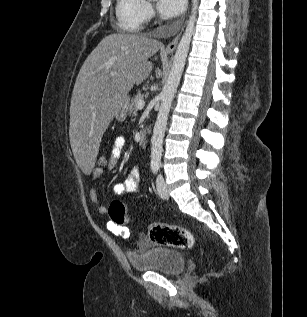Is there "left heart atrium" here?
Instances as JSON below:
<instances>
[{
  "label": "left heart atrium",
  "mask_w": 307,
  "mask_h": 317,
  "mask_svg": "<svg viewBox=\"0 0 307 317\" xmlns=\"http://www.w3.org/2000/svg\"><path fill=\"white\" fill-rule=\"evenodd\" d=\"M186 0H158L157 9L166 17H176L185 8Z\"/></svg>",
  "instance_id": "obj_1"
}]
</instances>
